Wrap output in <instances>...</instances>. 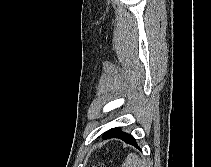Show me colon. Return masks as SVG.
<instances>
[{
    "instance_id": "obj_1",
    "label": "colon",
    "mask_w": 211,
    "mask_h": 167,
    "mask_svg": "<svg viewBox=\"0 0 211 167\" xmlns=\"http://www.w3.org/2000/svg\"><path fill=\"white\" fill-rule=\"evenodd\" d=\"M94 167H106V166H105V164H103V163H98V164H96Z\"/></svg>"
}]
</instances>
